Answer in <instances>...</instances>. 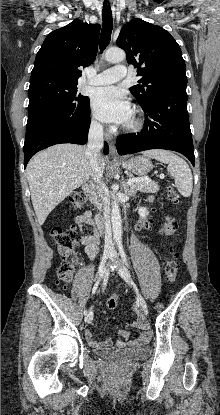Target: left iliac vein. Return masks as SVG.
I'll use <instances>...</instances> for the list:
<instances>
[{"mask_svg": "<svg viewBox=\"0 0 220 415\" xmlns=\"http://www.w3.org/2000/svg\"><path fill=\"white\" fill-rule=\"evenodd\" d=\"M112 258L116 261V264L118 265V273L119 275L129 284V286L132 288V290L134 291L136 298H137V302L139 304V306L141 307L142 311L144 312V314H148V307L147 304L144 300V298L142 297L141 293L139 292L136 284L134 283L129 271L127 270L126 267H124L121 264L120 258L117 254V252L114 250L112 252Z\"/></svg>", "mask_w": 220, "mask_h": 415, "instance_id": "1", "label": "left iliac vein"}]
</instances>
